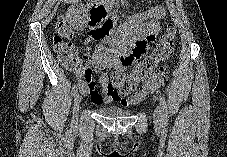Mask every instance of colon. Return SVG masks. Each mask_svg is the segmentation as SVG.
<instances>
[{
    "label": "colon",
    "mask_w": 227,
    "mask_h": 157,
    "mask_svg": "<svg viewBox=\"0 0 227 157\" xmlns=\"http://www.w3.org/2000/svg\"><path fill=\"white\" fill-rule=\"evenodd\" d=\"M91 15V10H90ZM109 32H97L96 36H105ZM176 28L169 25L167 31L155 43L153 51L146 56L135 68V73L146 77L161 61L167 59L174 50ZM74 38V31L64 17H58L55 24V37L53 48L58 61L63 65H73L78 60L76 47L66 40ZM131 64L133 62H125ZM87 78L93 80L91 63L87 62ZM101 72L100 68L96 69ZM167 71L161 66L157 72L148 78L134 93L123 99L125 105H135L147 98L155 90L159 89L166 79ZM112 86L122 95L128 94L131 89V78L128 74H113L110 76Z\"/></svg>",
    "instance_id": "5ec220e1"
}]
</instances>
